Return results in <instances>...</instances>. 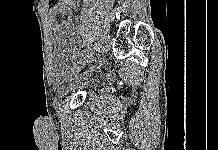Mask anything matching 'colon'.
I'll list each match as a JSON object with an SVG mask.
<instances>
[{"mask_svg": "<svg viewBox=\"0 0 218 150\" xmlns=\"http://www.w3.org/2000/svg\"><path fill=\"white\" fill-rule=\"evenodd\" d=\"M59 0H49V4L50 5H54L56 3H58Z\"/></svg>", "mask_w": 218, "mask_h": 150, "instance_id": "obj_1", "label": "colon"}]
</instances>
